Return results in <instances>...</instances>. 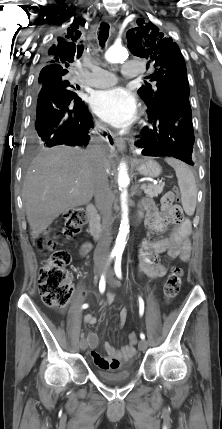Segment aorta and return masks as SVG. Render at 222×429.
<instances>
[{"label": "aorta", "mask_w": 222, "mask_h": 429, "mask_svg": "<svg viewBox=\"0 0 222 429\" xmlns=\"http://www.w3.org/2000/svg\"><path fill=\"white\" fill-rule=\"evenodd\" d=\"M128 51L122 46H112L106 53L105 58L110 63H117L126 60ZM129 183L126 165L122 163L119 168L118 184L121 190V208L122 219L119 228V233L116 238V243L113 249L114 253H122L126 245V237L129 233V219H128V206H127V190L126 187Z\"/></svg>", "instance_id": "aorta-1"}]
</instances>
